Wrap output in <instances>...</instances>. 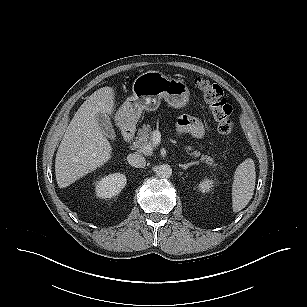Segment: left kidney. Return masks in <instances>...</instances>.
<instances>
[{
    "label": "left kidney",
    "mask_w": 307,
    "mask_h": 307,
    "mask_svg": "<svg viewBox=\"0 0 307 307\" xmlns=\"http://www.w3.org/2000/svg\"><path fill=\"white\" fill-rule=\"evenodd\" d=\"M214 186V181L212 179H204L198 185V190L202 193H208Z\"/></svg>",
    "instance_id": "left-kidney-1"
}]
</instances>
